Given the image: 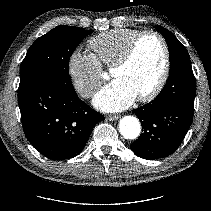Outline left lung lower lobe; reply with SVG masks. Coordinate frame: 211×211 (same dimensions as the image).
I'll return each mask as SVG.
<instances>
[{"label":"left lung lower lobe","mask_w":211,"mask_h":211,"mask_svg":"<svg viewBox=\"0 0 211 211\" xmlns=\"http://www.w3.org/2000/svg\"><path fill=\"white\" fill-rule=\"evenodd\" d=\"M196 82L191 63L170 70L169 78L148 104L135 109L143 133L130 148L139 157L154 160L174 153L193 120Z\"/></svg>","instance_id":"0a47b994"}]
</instances>
